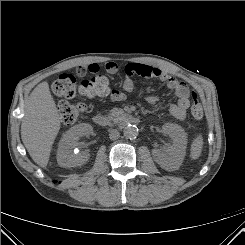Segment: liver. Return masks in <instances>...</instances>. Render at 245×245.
<instances>
[{"instance_id":"obj_1","label":"liver","mask_w":245,"mask_h":245,"mask_svg":"<svg viewBox=\"0 0 245 245\" xmlns=\"http://www.w3.org/2000/svg\"><path fill=\"white\" fill-rule=\"evenodd\" d=\"M60 130V116L46 81L32 91L25 104L21 138L35 163L46 167Z\"/></svg>"}]
</instances>
